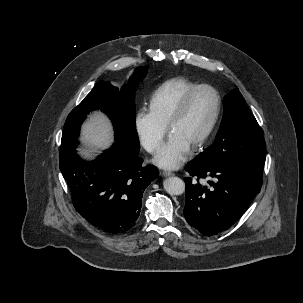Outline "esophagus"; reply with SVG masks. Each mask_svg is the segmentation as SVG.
Wrapping results in <instances>:
<instances>
[{"mask_svg": "<svg viewBox=\"0 0 303 303\" xmlns=\"http://www.w3.org/2000/svg\"><path fill=\"white\" fill-rule=\"evenodd\" d=\"M162 175L167 177V176H172V175H174V173H173V172H170V171H163V172H162Z\"/></svg>", "mask_w": 303, "mask_h": 303, "instance_id": "1", "label": "esophagus"}]
</instances>
